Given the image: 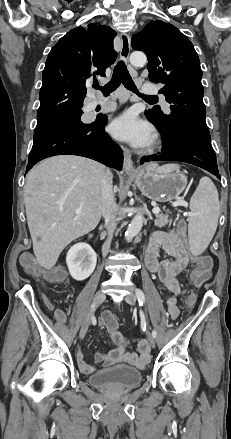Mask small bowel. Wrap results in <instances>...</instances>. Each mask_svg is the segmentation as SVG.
Returning <instances> with one entry per match:
<instances>
[{"instance_id": "obj_1", "label": "small bowel", "mask_w": 231, "mask_h": 439, "mask_svg": "<svg viewBox=\"0 0 231 439\" xmlns=\"http://www.w3.org/2000/svg\"><path fill=\"white\" fill-rule=\"evenodd\" d=\"M162 248L169 256L168 259L160 261L158 259L159 249ZM190 261L184 237L175 231H156L147 243L145 250V263L170 295L166 299V305L171 318L175 319L179 314L177 296L184 294L185 289L180 285L177 277L185 270ZM55 317L59 322L66 321L65 313L57 309ZM100 324L106 329L115 344V348L108 353H97L95 360L105 366L125 363L138 368H144L149 361V352L144 340L138 342L139 354L127 349L128 341L118 331V324L114 316L105 314L100 320ZM77 360L80 369L90 374L96 370L94 365L85 361L83 351L77 353Z\"/></svg>"}]
</instances>
